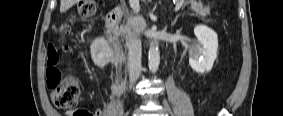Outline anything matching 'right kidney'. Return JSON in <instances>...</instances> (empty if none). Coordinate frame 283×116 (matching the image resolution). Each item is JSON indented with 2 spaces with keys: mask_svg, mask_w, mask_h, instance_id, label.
I'll return each instance as SVG.
<instances>
[{
  "mask_svg": "<svg viewBox=\"0 0 283 116\" xmlns=\"http://www.w3.org/2000/svg\"><path fill=\"white\" fill-rule=\"evenodd\" d=\"M90 52L94 64L100 68L106 66L114 56L110 40L107 41L103 37L96 38L92 42Z\"/></svg>",
  "mask_w": 283,
  "mask_h": 116,
  "instance_id": "ca27d5eb",
  "label": "right kidney"
}]
</instances>
